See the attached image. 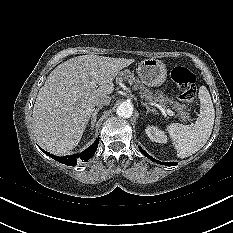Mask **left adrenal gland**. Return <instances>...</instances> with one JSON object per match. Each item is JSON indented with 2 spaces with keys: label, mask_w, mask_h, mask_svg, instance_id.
<instances>
[{
  "label": "left adrenal gland",
  "mask_w": 233,
  "mask_h": 233,
  "mask_svg": "<svg viewBox=\"0 0 233 233\" xmlns=\"http://www.w3.org/2000/svg\"><path fill=\"white\" fill-rule=\"evenodd\" d=\"M145 107H146V114H148L149 112H153L154 114H158L157 110L155 109H151L146 103H142Z\"/></svg>",
  "instance_id": "a2214340"
}]
</instances>
